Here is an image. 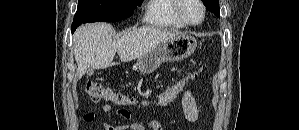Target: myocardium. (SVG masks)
Wrapping results in <instances>:
<instances>
[{"instance_id":"obj_1","label":"myocardium","mask_w":299,"mask_h":130,"mask_svg":"<svg viewBox=\"0 0 299 130\" xmlns=\"http://www.w3.org/2000/svg\"><path fill=\"white\" fill-rule=\"evenodd\" d=\"M186 0H176V15L179 18V20L185 24L186 26H190V27H196L201 25L204 22L205 19V14H206V9H205V5L203 3V1L201 0H195L196 3L200 6L201 8V19L199 20V22L197 23H192L190 22L185 15L183 14V5L185 3Z\"/></svg>"}]
</instances>
